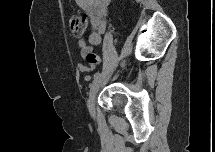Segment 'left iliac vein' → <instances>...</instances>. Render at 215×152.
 Wrapping results in <instances>:
<instances>
[{
	"mask_svg": "<svg viewBox=\"0 0 215 152\" xmlns=\"http://www.w3.org/2000/svg\"><path fill=\"white\" fill-rule=\"evenodd\" d=\"M107 74H108V69H105L103 74L100 75V77L98 79H96L91 86L89 98L87 101L88 110H89L91 115L94 114V103H95L98 89H99L100 85L102 84L103 80L105 79V77L107 76Z\"/></svg>",
	"mask_w": 215,
	"mask_h": 152,
	"instance_id": "1",
	"label": "left iliac vein"
}]
</instances>
